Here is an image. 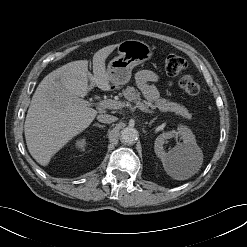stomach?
Masks as SVG:
<instances>
[{
    "label": "stomach",
    "instance_id": "obj_1",
    "mask_svg": "<svg viewBox=\"0 0 247 247\" xmlns=\"http://www.w3.org/2000/svg\"><path fill=\"white\" fill-rule=\"evenodd\" d=\"M118 56L107 67L106 74L112 86L118 87L130 81L132 69L149 60L153 51L143 41L128 39L118 44Z\"/></svg>",
    "mask_w": 247,
    "mask_h": 247
}]
</instances>
